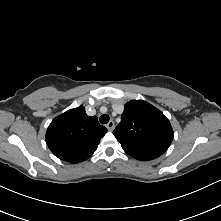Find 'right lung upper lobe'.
Returning a JSON list of instances; mask_svg holds the SVG:
<instances>
[{"instance_id": "cb5924a9", "label": "right lung upper lobe", "mask_w": 221, "mask_h": 221, "mask_svg": "<svg viewBox=\"0 0 221 221\" xmlns=\"http://www.w3.org/2000/svg\"><path fill=\"white\" fill-rule=\"evenodd\" d=\"M106 132L96 116H88L79 106L52 120L46 143L56 157L74 164L91 157Z\"/></svg>"}]
</instances>
